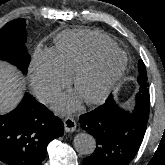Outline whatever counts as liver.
Returning a JSON list of instances; mask_svg holds the SVG:
<instances>
[{
    "instance_id": "6515ba94",
    "label": "liver",
    "mask_w": 165,
    "mask_h": 165,
    "mask_svg": "<svg viewBox=\"0 0 165 165\" xmlns=\"http://www.w3.org/2000/svg\"><path fill=\"white\" fill-rule=\"evenodd\" d=\"M24 81L14 67L0 61V114L13 110L23 96Z\"/></svg>"
}]
</instances>
